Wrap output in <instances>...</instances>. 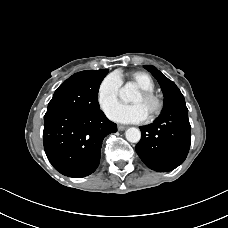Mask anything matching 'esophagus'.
Returning <instances> with one entry per match:
<instances>
[{
	"label": "esophagus",
	"mask_w": 228,
	"mask_h": 228,
	"mask_svg": "<svg viewBox=\"0 0 228 228\" xmlns=\"http://www.w3.org/2000/svg\"><path fill=\"white\" fill-rule=\"evenodd\" d=\"M117 128H118L119 131H123V130H125L127 128V126L118 125Z\"/></svg>",
	"instance_id": "obj_1"
}]
</instances>
